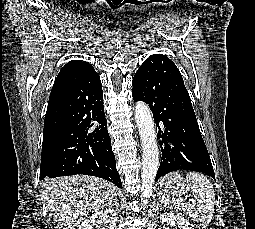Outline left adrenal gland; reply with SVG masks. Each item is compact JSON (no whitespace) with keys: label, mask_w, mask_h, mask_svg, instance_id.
Here are the masks:
<instances>
[{"label":"left adrenal gland","mask_w":255,"mask_h":229,"mask_svg":"<svg viewBox=\"0 0 255 229\" xmlns=\"http://www.w3.org/2000/svg\"><path fill=\"white\" fill-rule=\"evenodd\" d=\"M159 202L163 203V201H161L160 198H159ZM159 202H158V205L160 206L161 204ZM164 206H166V204H164Z\"/></svg>","instance_id":"obj_1"}]
</instances>
